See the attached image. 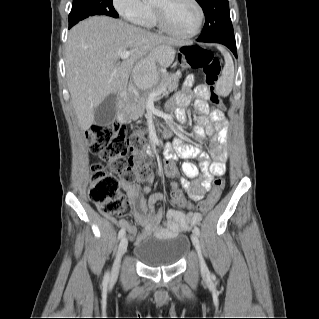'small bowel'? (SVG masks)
Returning a JSON list of instances; mask_svg holds the SVG:
<instances>
[{
	"label": "small bowel",
	"mask_w": 319,
	"mask_h": 319,
	"mask_svg": "<svg viewBox=\"0 0 319 319\" xmlns=\"http://www.w3.org/2000/svg\"><path fill=\"white\" fill-rule=\"evenodd\" d=\"M195 75H189L182 83L180 89L171 97L169 106L177 104L176 114L180 120L186 121L185 108L195 97L194 108L197 112V123L194 125V140L200 141L206 136L211 138L210 149L213 162H208L202 154L201 148L195 144H184L182 139L174 140L173 148H167L169 161L165 165L166 174L171 176L176 174L174 160L177 156L182 158H197L203 176H199V171L195 164L184 162L182 171L186 178L180 180V185L188 195L195 201H201L206 192L209 191L211 180L214 176H222L226 172V151L223 146L227 144L228 120L222 110L218 108H209L206 103L207 92L204 86L195 83ZM175 151L173 153L172 151ZM147 185L141 188L139 183H127L120 181V187L127 195V202L134 206L135 222L142 228V232L136 236V228L124 219H109L118 227L125 229L129 233L130 239L136 236L137 241L142 240L150 232L154 231L161 235H172L178 232H185L192 226L198 224L202 219V214L198 211H175L168 210L165 214L163 211H156L155 205L158 201L165 200L163 193L151 194L145 199L143 193H149L151 189L152 177L143 179ZM172 204L177 203L172 199ZM165 216L164 226L161 220Z\"/></svg>",
	"instance_id": "c3829d8e"
}]
</instances>
